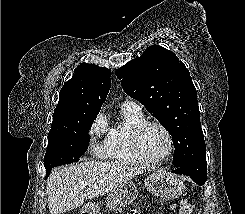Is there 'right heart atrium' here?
<instances>
[{"instance_id": "d8ad5b80", "label": "right heart atrium", "mask_w": 245, "mask_h": 214, "mask_svg": "<svg viewBox=\"0 0 245 214\" xmlns=\"http://www.w3.org/2000/svg\"><path fill=\"white\" fill-rule=\"evenodd\" d=\"M110 126L104 111H101L92 121L89 130V144L92 153L98 158L107 156V144Z\"/></svg>"}]
</instances>
